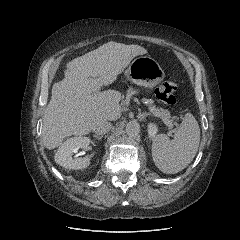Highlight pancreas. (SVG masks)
I'll return each mask as SVG.
<instances>
[{
	"mask_svg": "<svg viewBox=\"0 0 240 240\" xmlns=\"http://www.w3.org/2000/svg\"><path fill=\"white\" fill-rule=\"evenodd\" d=\"M138 92L133 89V88H129L127 91V96L131 97L132 95L137 94ZM152 108L156 109L158 112V117H160L163 121H171L170 120V112L167 109H163V108H155L154 105H150Z\"/></svg>",
	"mask_w": 240,
	"mask_h": 240,
	"instance_id": "pancreas-1",
	"label": "pancreas"
}]
</instances>
